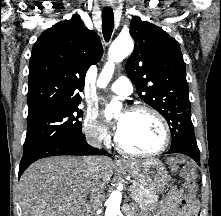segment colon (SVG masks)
Returning <instances> with one entry per match:
<instances>
[{"label":"colon","instance_id":"obj_1","mask_svg":"<svg viewBox=\"0 0 221 216\" xmlns=\"http://www.w3.org/2000/svg\"><path fill=\"white\" fill-rule=\"evenodd\" d=\"M169 165L174 172H181L185 175H191L192 171L187 167L184 158L176 157L169 161ZM182 192V204L187 209H193L195 207V197L193 194V187L190 184H184L181 188Z\"/></svg>","mask_w":221,"mask_h":216}]
</instances>
